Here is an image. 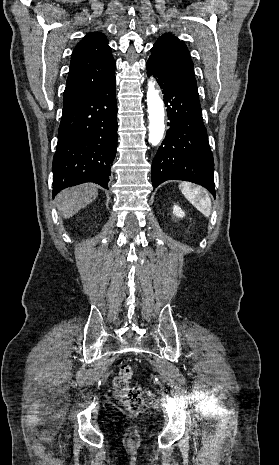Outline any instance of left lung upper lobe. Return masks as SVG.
Returning <instances> with one entry per match:
<instances>
[{"instance_id": "left-lung-upper-lobe-1", "label": "left lung upper lobe", "mask_w": 279, "mask_h": 465, "mask_svg": "<svg viewBox=\"0 0 279 465\" xmlns=\"http://www.w3.org/2000/svg\"><path fill=\"white\" fill-rule=\"evenodd\" d=\"M149 59L156 60L175 71L188 73L194 79L193 62L186 45L170 33H165L151 49Z\"/></svg>"}]
</instances>
